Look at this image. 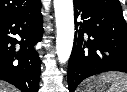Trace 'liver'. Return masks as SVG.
<instances>
[{"label": "liver", "instance_id": "obj_1", "mask_svg": "<svg viewBox=\"0 0 127 92\" xmlns=\"http://www.w3.org/2000/svg\"><path fill=\"white\" fill-rule=\"evenodd\" d=\"M0 92H18V90L6 82L0 81Z\"/></svg>", "mask_w": 127, "mask_h": 92}]
</instances>
